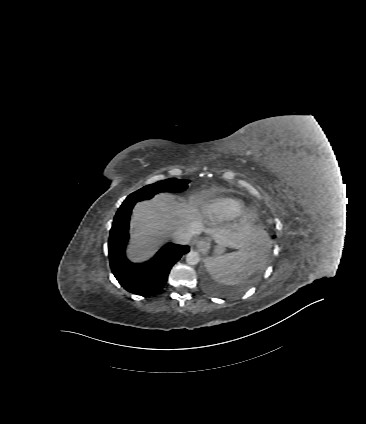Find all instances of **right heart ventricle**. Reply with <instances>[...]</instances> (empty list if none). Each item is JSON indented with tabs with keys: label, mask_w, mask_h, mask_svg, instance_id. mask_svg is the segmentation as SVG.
Listing matches in <instances>:
<instances>
[{
	"label": "right heart ventricle",
	"mask_w": 366,
	"mask_h": 424,
	"mask_svg": "<svg viewBox=\"0 0 366 424\" xmlns=\"http://www.w3.org/2000/svg\"><path fill=\"white\" fill-rule=\"evenodd\" d=\"M245 209V203L235 197H220L208 207L209 212L221 221L236 219Z\"/></svg>",
	"instance_id": "e07e8e85"
}]
</instances>
